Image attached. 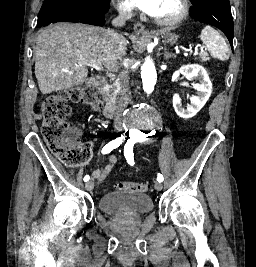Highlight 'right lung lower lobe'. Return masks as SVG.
Returning <instances> with one entry per match:
<instances>
[{
  "label": "right lung lower lobe",
  "instance_id": "98d812e1",
  "mask_svg": "<svg viewBox=\"0 0 256 267\" xmlns=\"http://www.w3.org/2000/svg\"><path fill=\"white\" fill-rule=\"evenodd\" d=\"M109 7L110 6L104 8H88L81 14H67L59 11L52 12L38 20L37 24L38 27H41L56 22H75L103 26L105 24L104 15L108 12Z\"/></svg>",
  "mask_w": 256,
  "mask_h": 267
}]
</instances>
